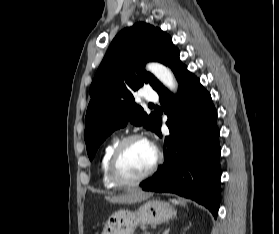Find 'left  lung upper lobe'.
<instances>
[{
    "label": "left lung upper lobe",
    "instance_id": "obj_1",
    "mask_svg": "<svg viewBox=\"0 0 279 234\" xmlns=\"http://www.w3.org/2000/svg\"><path fill=\"white\" fill-rule=\"evenodd\" d=\"M177 51L167 33L146 23H136L116 35L90 87L84 132L90 160L106 137L128 121L156 131L159 116L146 114L132 93L144 83L156 89L160 82L145 71V64L157 61L167 66Z\"/></svg>",
    "mask_w": 279,
    "mask_h": 234
}]
</instances>
